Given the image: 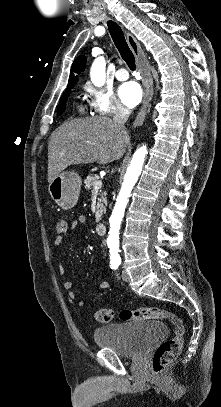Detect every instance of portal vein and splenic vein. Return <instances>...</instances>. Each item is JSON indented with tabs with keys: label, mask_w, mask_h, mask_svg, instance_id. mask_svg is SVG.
Returning a JSON list of instances; mask_svg holds the SVG:
<instances>
[{
	"label": "portal vein and splenic vein",
	"mask_w": 221,
	"mask_h": 407,
	"mask_svg": "<svg viewBox=\"0 0 221 407\" xmlns=\"http://www.w3.org/2000/svg\"><path fill=\"white\" fill-rule=\"evenodd\" d=\"M101 186H102V181L98 180L94 185V189L97 190V189L101 188Z\"/></svg>",
	"instance_id": "portal-vein-and-splenic-vein-1"
}]
</instances>
